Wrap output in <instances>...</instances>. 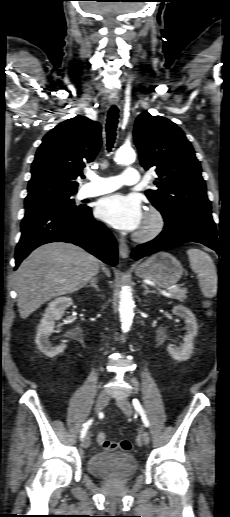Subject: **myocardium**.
<instances>
[{
  "label": "myocardium",
  "instance_id": "myocardium-1",
  "mask_svg": "<svg viewBox=\"0 0 230 517\" xmlns=\"http://www.w3.org/2000/svg\"><path fill=\"white\" fill-rule=\"evenodd\" d=\"M164 226L165 218L162 212L150 206L145 213L144 225L136 234V239L142 242L154 239L163 231Z\"/></svg>",
  "mask_w": 230,
  "mask_h": 517
}]
</instances>
